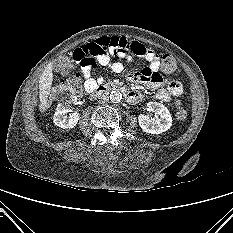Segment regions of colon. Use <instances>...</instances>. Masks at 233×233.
<instances>
[{
    "label": "colon",
    "mask_w": 233,
    "mask_h": 233,
    "mask_svg": "<svg viewBox=\"0 0 233 233\" xmlns=\"http://www.w3.org/2000/svg\"><path fill=\"white\" fill-rule=\"evenodd\" d=\"M67 62L66 58L60 59V66L65 65ZM179 68L176 60L170 55H164L161 60L160 72L163 75L167 74H176L178 73ZM63 92H68L73 95H80L82 92V81L79 75L63 79L59 82L58 86L53 92V96L61 94ZM175 115L180 120H185L188 116V110L181 101L175 102Z\"/></svg>",
    "instance_id": "obj_1"
}]
</instances>
